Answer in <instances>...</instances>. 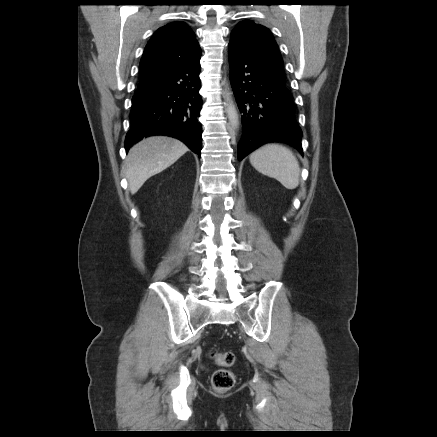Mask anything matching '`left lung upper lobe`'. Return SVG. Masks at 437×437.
<instances>
[{"label":"left lung upper lobe","instance_id":"obj_1","mask_svg":"<svg viewBox=\"0 0 437 437\" xmlns=\"http://www.w3.org/2000/svg\"><path fill=\"white\" fill-rule=\"evenodd\" d=\"M232 47L263 67L276 79L285 82L283 60L272 33L253 21H241L231 33Z\"/></svg>","mask_w":437,"mask_h":437}]
</instances>
